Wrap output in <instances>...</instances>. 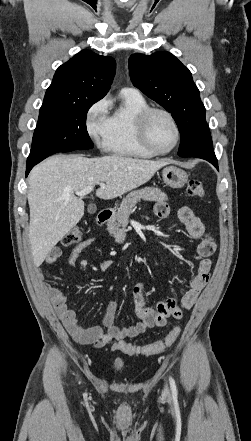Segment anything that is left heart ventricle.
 <instances>
[{
    "label": "left heart ventricle",
    "instance_id": "obj_1",
    "mask_svg": "<svg viewBox=\"0 0 251 441\" xmlns=\"http://www.w3.org/2000/svg\"><path fill=\"white\" fill-rule=\"evenodd\" d=\"M152 145L159 150H167L175 142V130L170 120L163 114H154L148 126Z\"/></svg>",
    "mask_w": 251,
    "mask_h": 441
}]
</instances>
